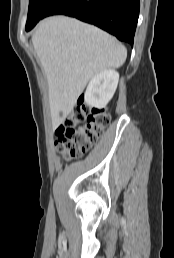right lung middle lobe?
Wrapping results in <instances>:
<instances>
[{"label":"right lung middle lobe","mask_w":174,"mask_h":258,"mask_svg":"<svg viewBox=\"0 0 174 258\" xmlns=\"http://www.w3.org/2000/svg\"><path fill=\"white\" fill-rule=\"evenodd\" d=\"M55 1L56 0H29L26 31L31 30L39 20L45 17V12Z\"/></svg>","instance_id":"right-lung-middle-lobe-1"}]
</instances>
